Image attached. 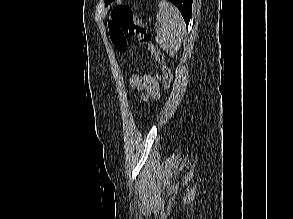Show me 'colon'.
<instances>
[{
    "instance_id": "5ec220e1",
    "label": "colon",
    "mask_w": 293,
    "mask_h": 219,
    "mask_svg": "<svg viewBox=\"0 0 293 219\" xmlns=\"http://www.w3.org/2000/svg\"><path fill=\"white\" fill-rule=\"evenodd\" d=\"M108 28L110 39L119 52H126L129 49L126 33L137 38L139 43L147 48L160 65L164 88H170L172 75L169 67L166 65L165 57L152 44V36L144 21L129 6L120 4L112 9Z\"/></svg>"
}]
</instances>
